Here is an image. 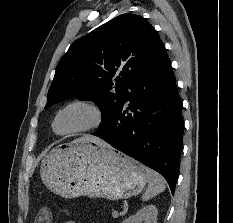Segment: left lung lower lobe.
I'll return each mask as SVG.
<instances>
[{"mask_svg":"<svg viewBox=\"0 0 233 223\" xmlns=\"http://www.w3.org/2000/svg\"><path fill=\"white\" fill-rule=\"evenodd\" d=\"M92 135L159 172L174 193L183 143L182 103L161 40L126 103Z\"/></svg>","mask_w":233,"mask_h":223,"instance_id":"0a47b994","label":"left lung lower lobe"}]
</instances>
